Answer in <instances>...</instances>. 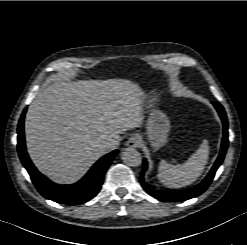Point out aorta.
<instances>
[{"label":"aorta","instance_id":"obj_1","mask_svg":"<svg viewBox=\"0 0 247 245\" xmlns=\"http://www.w3.org/2000/svg\"><path fill=\"white\" fill-rule=\"evenodd\" d=\"M122 161L131 167H137L141 164V155L140 153L132 147L125 148L121 153Z\"/></svg>","mask_w":247,"mask_h":245}]
</instances>
